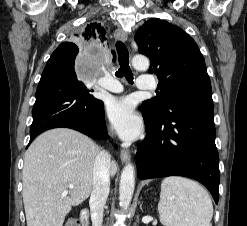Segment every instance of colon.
<instances>
[{"instance_id": "5ec220e1", "label": "colon", "mask_w": 247, "mask_h": 226, "mask_svg": "<svg viewBox=\"0 0 247 226\" xmlns=\"http://www.w3.org/2000/svg\"><path fill=\"white\" fill-rule=\"evenodd\" d=\"M64 226H81V222L77 217H70Z\"/></svg>"}]
</instances>
